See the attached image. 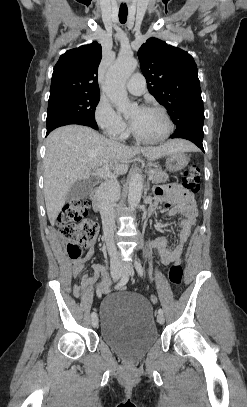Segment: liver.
<instances>
[{
  "mask_svg": "<svg viewBox=\"0 0 247 407\" xmlns=\"http://www.w3.org/2000/svg\"><path fill=\"white\" fill-rule=\"evenodd\" d=\"M193 149L194 146L184 140H171L157 147H128L79 125L54 130L47 137L44 158V197L51 225L61 212L70 187L88 179L92 170L107 165L109 171L122 175L137 154L142 153L152 161L166 154Z\"/></svg>",
  "mask_w": 247,
  "mask_h": 407,
  "instance_id": "obj_1",
  "label": "liver"
}]
</instances>
